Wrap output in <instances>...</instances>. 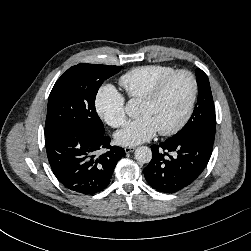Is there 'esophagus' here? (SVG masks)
I'll return each instance as SVG.
<instances>
[{
	"label": "esophagus",
	"instance_id": "34e87169",
	"mask_svg": "<svg viewBox=\"0 0 251 251\" xmlns=\"http://www.w3.org/2000/svg\"><path fill=\"white\" fill-rule=\"evenodd\" d=\"M124 150H125L126 153H130V152H133L135 150V147H125Z\"/></svg>",
	"mask_w": 251,
	"mask_h": 251
}]
</instances>
